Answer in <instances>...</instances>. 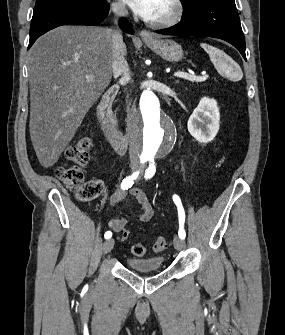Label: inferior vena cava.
Segmentation results:
<instances>
[{
    "label": "inferior vena cava",
    "instance_id": "obj_1",
    "mask_svg": "<svg viewBox=\"0 0 285 335\" xmlns=\"http://www.w3.org/2000/svg\"><path fill=\"white\" fill-rule=\"evenodd\" d=\"M111 10L115 14L116 18L120 16H127L128 12L125 10L124 4L121 2H114L111 4ZM117 26V20H115ZM112 34V70L113 74L122 76L120 82L123 86H126L131 80L130 72L128 70V64L124 58V50L126 48L123 42V36L120 30H109ZM130 94H127L129 98ZM127 104V136L129 140V152L131 156L137 158L138 146H137V134L139 124V114L135 104H131V100H126Z\"/></svg>",
    "mask_w": 285,
    "mask_h": 335
}]
</instances>
